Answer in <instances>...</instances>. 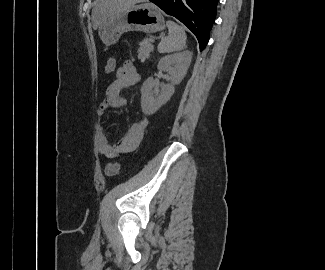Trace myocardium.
I'll list each match as a JSON object with an SVG mask.
<instances>
[{"label": "myocardium", "mask_w": 325, "mask_h": 270, "mask_svg": "<svg viewBox=\"0 0 325 270\" xmlns=\"http://www.w3.org/2000/svg\"><path fill=\"white\" fill-rule=\"evenodd\" d=\"M131 1H133V2H137V1H144V0H131Z\"/></svg>", "instance_id": "1"}]
</instances>
